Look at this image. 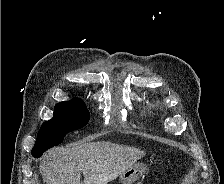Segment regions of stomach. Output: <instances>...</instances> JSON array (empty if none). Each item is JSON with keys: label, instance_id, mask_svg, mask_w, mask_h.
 Returning <instances> with one entry per match:
<instances>
[{"label": "stomach", "instance_id": "0dacf381", "mask_svg": "<svg viewBox=\"0 0 224 184\" xmlns=\"http://www.w3.org/2000/svg\"><path fill=\"white\" fill-rule=\"evenodd\" d=\"M146 170L147 167L143 163L134 164L120 175L119 181L121 184H132L140 179Z\"/></svg>", "mask_w": 224, "mask_h": 184}]
</instances>
